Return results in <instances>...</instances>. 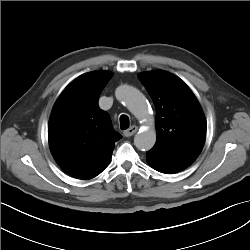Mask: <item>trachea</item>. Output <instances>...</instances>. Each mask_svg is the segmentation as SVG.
Returning a JSON list of instances; mask_svg holds the SVG:
<instances>
[{"mask_svg":"<svg viewBox=\"0 0 250 250\" xmlns=\"http://www.w3.org/2000/svg\"><path fill=\"white\" fill-rule=\"evenodd\" d=\"M130 121L127 115L120 116V128L125 130L129 127Z\"/></svg>","mask_w":250,"mask_h":250,"instance_id":"1","label":"trachea"}]
</instances>
